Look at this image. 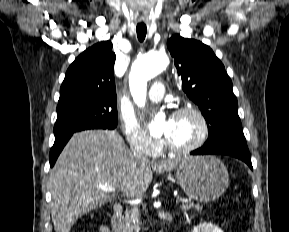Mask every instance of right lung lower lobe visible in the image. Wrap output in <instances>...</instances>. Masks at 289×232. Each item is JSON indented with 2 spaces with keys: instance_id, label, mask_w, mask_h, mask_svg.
<instances>
[{
  "instance_id": "1",
  "label": "right lung lower lobe",
  "mask_w": 289,
  "mask_h": 232,
  "mask_svg": "<svg viewBox=\"0 0 289 232\" xmlns=\"http://www.w3.org/2000/svg\"><path fill=\"white\" fill-rule=\"evenodd\" d=\"M74 132L72 133H68L59 137L55 138V142L53 147L50 150V154H49V161H50V166L53 167L56 159L58 158L60 152L62 151V149L64 148V146L66 145V143L68 142V140L70 139V137L73 135Z\"/></svg>"
}]
</instances>
